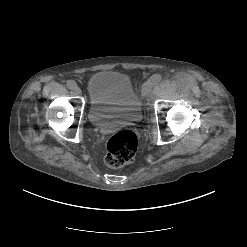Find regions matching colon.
<instances>
[{
	"instance_id": "5ec220e1",
	"label": "colon",
	"mask_w": 247,
	"mask_h": 247,
	"mask_svg": "<svg viewBox=\"0 0 247 247\" xmlns=\"http://www.w3.org/2000/svg\"><path fill=\"white\" fill-rule=\"evenodd\" d=\"M138 138L131 130H121L106 140L105 164L111 168H120L131 163L136 155Z\"/></svg>"
}]
</instances>
